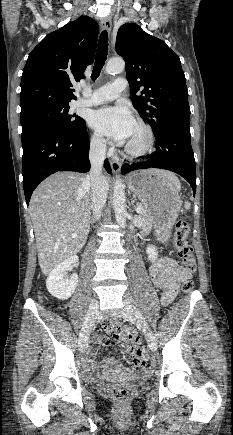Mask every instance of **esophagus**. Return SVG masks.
Masks as SVG:
<instances>
[{
    "label": "esophagus",
    "instance_id": "1",
    "mask_svg": "<svg viewBox=\"0 0 233 435\" xmlns=\"http://www.w3.org/2000/svg\"><path fill=\"white\" fill-rule=\"evenodd\" d=\"M101 28L103 30H106L108 33L111 32V29H112V19H111L110 16L104 17L102 19V21H101ZM110 165H111V169H112V171L114 173H118L120 171V169H121V163L118 160L114 159V158L110 159Z\"/></svg>",
    "mask_w": 233,
    "mask_h": 435
}]
</instances>
